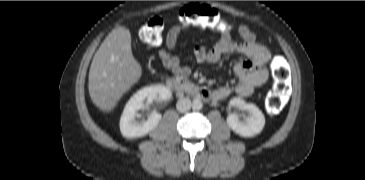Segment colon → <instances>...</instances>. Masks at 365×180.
I'll return each mask as SVG.
<instances>
[{"instance_id": "obj_1", "label": "colon", "mask_w": 365, "mask_h": 180, "mask_svg": "<svg viewBox=\"0 0 365 180\" xmlns=\"http://www.w3.org/2000/svg\"><path fill=\"white\" fill-rule=\"evenodd\" d=\"M179 20L182 25L209 28L220 34L228 29L226 23L220 18L218 12L207 5L189 4L179 11ZM165 29L164 20L155 16L142 26L140 39L149 46H159L163 41ZM274 85L269 91L266 101L271 113H279L285 105L286 81L288 68L283 57H277L272 62Z\"/></svg>"}]
</instances>
